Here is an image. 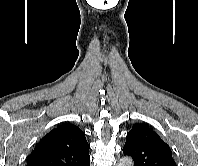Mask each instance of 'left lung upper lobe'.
I'll return each instance as SVG.
<instances>
[{"label": "left lung upper lobe", "mask_w": 198, "mask_h": 166, "mask_svg": "<svg viewBox=\"0 0 198 166\" xmlns=\"http://www.w3.org/2000/svg\"><path fill=\"white\" fill-rule=\"evenodd\" d=\"M123 153L133 158L135 166H177L169 145L144 124L133 125Z\"/></svg>", "instance_id": "5c2ea615"}]
</instances>
